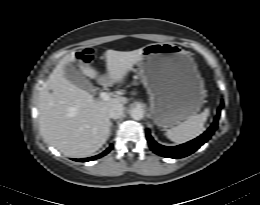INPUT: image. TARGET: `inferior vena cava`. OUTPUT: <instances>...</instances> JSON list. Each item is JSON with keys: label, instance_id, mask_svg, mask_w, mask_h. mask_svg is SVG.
<instances>
[{"label": "inferior vena cava", "instance_id": "inferior-vena-cava-1", "mask_svg": "<svg viewBox=\"0 0 260 205\" xmlns=\"http://www.w3.org/2000/svg\"><path fill=\"white\" fill-rule=\"evenodd\" d=\"M124 107L122 104H116L108 109V117L117 119L123 114Z\"/></svg>", "mask_w": 260, "mask_h": 205}]
</instances>
